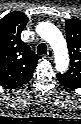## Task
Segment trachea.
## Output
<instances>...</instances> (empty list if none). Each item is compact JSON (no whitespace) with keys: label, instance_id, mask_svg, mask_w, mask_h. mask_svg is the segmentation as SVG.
Returning <instances> with one entry per match:
<instances>
[{"label":"trachea","instance_id":"1","mask_svg":"<svg viewBox=\"0 0 81 124\" xmlns=\"http://www.w3.org/2000/svg\"><path fill=\"white\" fill-rule=\"evenodd\" d=\"M47 53V46L44 43H41L37 47V54L44 55Z\"/></svg>","mask_w":81,"mask_h":124}]
</instances>
